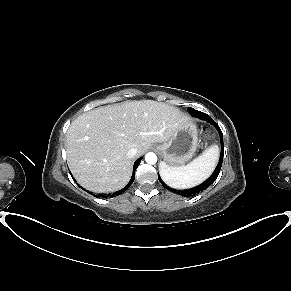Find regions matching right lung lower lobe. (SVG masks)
Segmentation results:
<instances>
[{
  "label": "right lung lower lobe",
  "mask_w": 291,
  "mask_h": 291,
  "mask_svg": "<svg viewBox=\"0 0 291 291\" xmlns=\"http://www.w3.org/2000/svg\"><path fill=\"white\" fill-rule=\"evenodd\" d=\"M140 161H141V159H138V160L135 162V164H134V171H133L132 178H131L130 182L126 185V187H124L122 190H120L119 192H116V193H114V194H109V195H106V196L104 195V197H110V198H111V197L117 196V195H119V194L125 192V191L130 187V185L133 183V181H134V179H135L134 172H135L136 168L139 166Z\"/></svg>",
  "instance_id": "1"
}]
</instances>
